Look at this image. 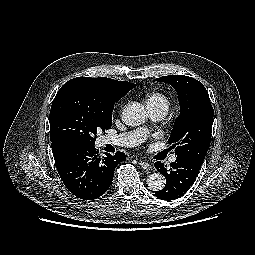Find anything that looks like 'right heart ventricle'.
<instances>
[{"label": "right heart ventricle", "mask_w": 255, "mask_h": 255, "mask_svg": "<svg viewBox=\"0 0 255 255\" xmlns=\"http://www.w3.org/2000/svg\"><path fill=\"white\" fill-rule=\"evenodd\" d=\"M146 106L148 109L162 108L168 110L169 99L161 92H153L146 97Z\"/></svg>", "instance_id": "right-heart-ventricle-1"}]
</instances>
